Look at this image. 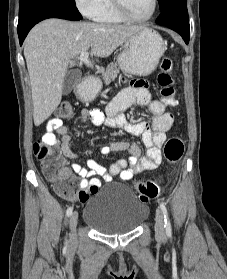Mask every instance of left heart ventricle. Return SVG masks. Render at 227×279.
<instances>
[{
    "instance_id": "b2bd125f",
    "label": "left heart ventricle",
    "mask_w": 227,
    "mask_h": 279,
    "mask_svg": "<svg viewBox=\"0 0 227 279\" xmlns=\"http://www.w3.org/2000/svg\"><path fill=\"white\" fill-rule=\"evenodd\" d=\"M123 2L135 17H145L152 8V0H123Z\"/></svg>"
}]
</instances>
